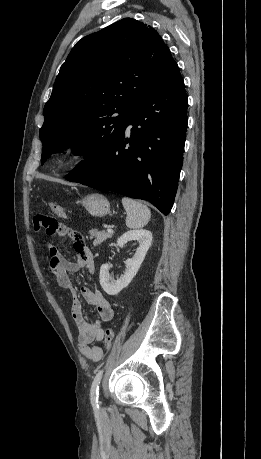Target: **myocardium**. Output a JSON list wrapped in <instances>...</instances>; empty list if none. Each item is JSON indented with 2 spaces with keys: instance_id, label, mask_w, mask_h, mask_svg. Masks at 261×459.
<instances>
[{
  "instance_id": "1",
  "label": "myocardium",
  "mask_w": 261,
  "mask_h": 459,
  "mask_svg": "<svg viewBox=\"0 0 261 459\" xmlns=\"http://www.w3.org/2000/svg\"><path fill=\"white\" fill-rule=\"evenodd\" d=\"M85 155V148L78 142L65 146L57 156V163L60 166H70L80 161Z\"/></svg>"
}]
</instances>
